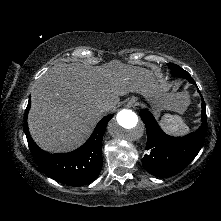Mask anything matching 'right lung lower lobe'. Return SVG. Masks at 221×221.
I'll return each mask as SVG.
<instances>
[{"label": "right lung lower lobe", "instance_id": "right-lung-lower-lobe-1", "mask_svg": "<svg viewBox=\"0 0 221 221\" xmlns=\"http://www.w3.org/2000/svg\"><path fill=\"white\" fill-rule=\"evenodd\" d=\"M30 100L24 116V132L33 159L50 178L71 186H83L94 181L102 168V139L112 115L104 117L97 124L90 138L80 148L65 154H50L40 149L29 134L27 115Z\"/></svg>", "mask_w": 221, "mask_h": 221}]
</instances>
